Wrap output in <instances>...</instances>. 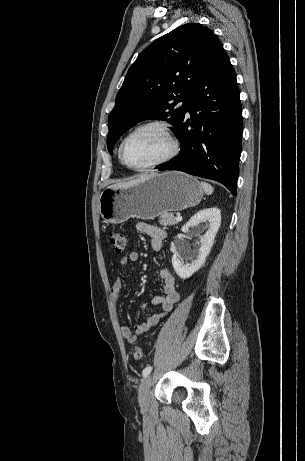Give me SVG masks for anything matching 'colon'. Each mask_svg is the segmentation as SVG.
Masks as SVG:
<instances>
[{"instance_id":"obj_1","label":"colon","mask_w":305,"mask_h":461,"mask_svg":"<svg viewBox=\"0 0 305 461\" xmlns=\"http://www.w3.org/2000/svg\"><path fill=\"white\" fill-rule=\"evenodd\" d=\"M108 240L117 253H122L127 245V236L124 233L112 231L108 235ZM134 359L140 360L143 358V350L139 346L132 348Z\"/></svg>"}]
</instances>
